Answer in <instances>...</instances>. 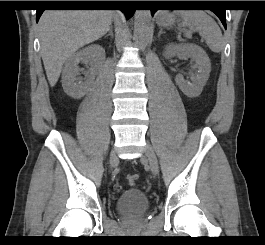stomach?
<instances>
[{
  "label": "stomach",
  "instance_id": "obj_1",
  "mask_svg": "<svg viewBox=\"0 0 265 245\" xmlns=\"http://www.w3.org/2000/svg\"><path fill=\"white\" fill-rule=\"evenodd\" d=\"M175 14L166 13L159 19V25L162 27H170L176 22Z\"/></svg>",
  "mask_w": 265,
  "mask_h": 245
}]
</instances>
